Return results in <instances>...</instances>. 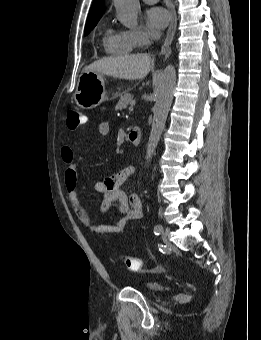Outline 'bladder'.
Instances as JSON below:
<instances>
[{
    "label": "bladder",
    "mask_w": 261,
    "mask_h": 340,
    "mask_svg": "<svg viewBox=\"0 0 261 340\" xmlns=\"http://www.w3.org/2000/svg\"><path fill=\"white\" fill-rule=\"evenodd\" d=\"M144 289L149 293H156L161 289V285L158 282H149L145 284Z\"/></svg>",
    "instance_id": "1"
}]
</instances>
